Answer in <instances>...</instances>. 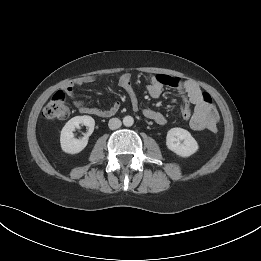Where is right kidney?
Instances as JSON below:
<instances>
[{
	"instance_id": "right-kidney-1",
	"label": "right kidney",
	"mask_w": 261,
	"mask_h": 261,
	"mask_svg": "<svg viewBox=\"0 0 261 261\" xmlns=\"http://www.w3.org/2000/svg\"><path fill=\"white\" fill-rule=\"evenodd\" d=\"M88 127V132L81 139L74 138L73 132L79 125ZM95 121L91 116H76L71 118L63 127L60 135L61 148L69 154H77L81 152L88 143V138L94 131Z\"/></svg>"
}]
</instances>
